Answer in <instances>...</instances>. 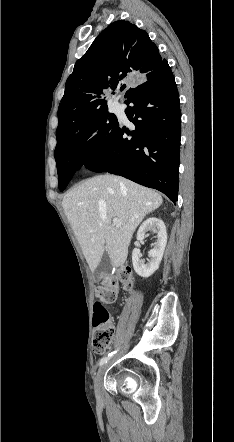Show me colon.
Listing matches in <instances>:
<instances>
[{
    "instance_id": "colon-1",
    "label": "colon",
    "mask_w": 234,
    "mask_h": 442,
    "mask_svg": "<svg viewBox=\"0 0 234 442\" xmlns=\"http://www.w3.org/2000/svg\"><path fill=\"white\" fill-rule=\"evenodd\" d=\"M120 284L127 291L133 289V274L127 265L120 267L116 275L105 277L96 288L93 347L97 354L104 353L113 340L114 327L109 322L110 316L105 305L113 303L117 299Z\"/></svg>"
}]
</instances>
